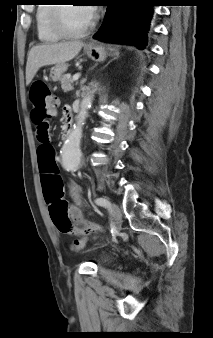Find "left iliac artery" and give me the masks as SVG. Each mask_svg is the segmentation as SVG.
<instances>
[{"instance_id": "left-iliac-artery-1", "label": "left iliac artery", "mask_w": 213, "mask_h": 338, "mask_svg": "<svg viewBox=\"0 0 213 338\" xmlns=\"http://www.w3.org/2000/svg\"><path fill=\"white\" fill-rule=\"evenodd\" d=\"M95 203L99 206H103L105 208H108L110 206L109 201L105 198L99 197L95 199Z\"/></svg>"}]
</instances>
